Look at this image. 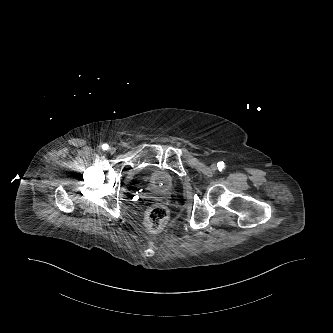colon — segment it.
Masks as SVG:
<instances>
[{"label": "colon", "instance_id": "colon-1", "mask_svg": "<svg viewBox=\"0 0 333 333\" xmlns=\"http://www.w3.org/2000/svg\"><path fill=\"white\" fill-rule=\"evenodd\" d=\"M168 216V209L163 204H156L152 206L148 210L145 218L147 229L152 233L160 232L165 226Z\"/></svg>", "mask_w": 333, "mask_h": 333}]
</instances>
